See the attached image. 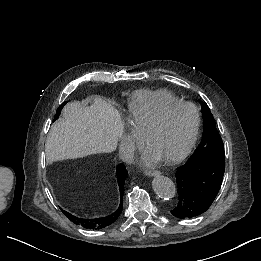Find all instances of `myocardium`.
<instances>
[{
	"label": "myocardium",
	"instance_id": "obj_1",
	"mask_svg": "<svg viewBox=\"0 0 261 261\" xmlns=\"http://www.w3.org/2000/svg\"><path fill=\"white\" fill-rule=\"evenodd\" d=\"M173 108H185L190 110L194 117V123L187 141L179 151L165 158H158L161 162L166 164L173 163L183 159L195 144L201 125V115L198 109L193 104L188 102H172L164 105L160 110H158L153 114L142 116L136 122V132L139 136L142 126H144L146 123H150L159 119L165 112Z\"/></svg>",
	"mask_w": 261,
	"mask_h": 261
}]
</instances>
